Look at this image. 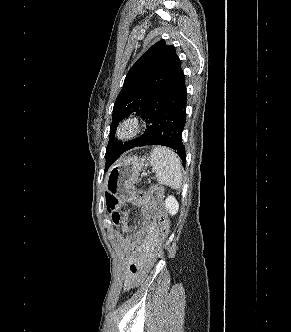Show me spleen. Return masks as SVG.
I'll use <instances>...</instances> for the list:
<instances>
[{"label":"spleen","instance_id":"spleen-1","mask_svg":"<svg viewBox=\"0 0 291 332\" xmlns=\"http://www.w3.org/2000/svg\"><path fill=\"white\" fill-rule=\"evenodd\" d=\"M150 164L160 184L176 189L182 186V164L173 150L166 147L154 148Z\"/></svg>","mask_w":291,"mask_h":332}]
</instances>
